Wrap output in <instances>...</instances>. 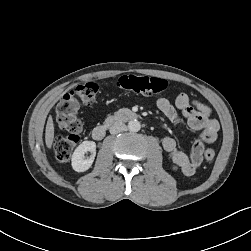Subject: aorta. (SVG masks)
<instances>
[{"instance_id": "762f6f07", "label": "aorta", "mask_w": 251, "mask_h": 251, "mask_svg": "<svg viewBox=\"0 0 251 251\" xmlns=\"http://www.w3.org/2000/svg\"><path fill=\"white\" fill-rule=\"evenodd\" d=\"M140 129H141V125L138 120H131L128 122V130L130 132H138Z\"/></svg>"}]
</instances>
